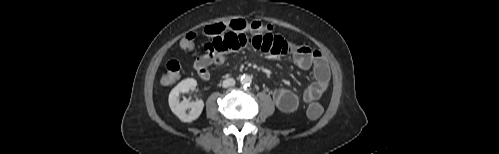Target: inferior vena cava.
<instances>
[{"mask_svg": "<svg viewBox=\"0 0 499 154\" xmlns=\"http://www.w3.org/2000/svg\"><path fill=\"white\" fill-rule=\"evenodd\" d=\"M235 85V80L233 78H228L223 81L222 86L224 88L231 87Z\"/></svg>", "mask_w": 499, "mask_h": 154, "instance_id": "inferior-vena-cava-1", "label": "inferior vena cava"}]
</instances>
